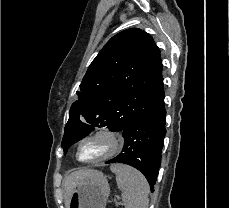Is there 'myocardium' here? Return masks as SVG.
Instances as JSON below:
<instances>
[{"mask_svg": "<svg viewBox=\"0 0 229 208\" xmlns=\"http://www.w3.org/2000/svg\"><path fill=\"white\" fill-rule=\"evenodd\" d=\"M104 134H98V133ZM85 143L86 147H115L114 150L108 154L93 160H83L79 157V149L82 143ZM125 145V137L122 131L110 126H102L95 128L89 133L82 136L75 149V155L78 161L85 164H95L103 161H107L118 155Z\"/></svg>", "mask_w": 229, "mask_h": 208, "instance_id": "1", "label": "myocardium"}]
</instances>
